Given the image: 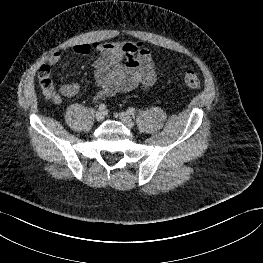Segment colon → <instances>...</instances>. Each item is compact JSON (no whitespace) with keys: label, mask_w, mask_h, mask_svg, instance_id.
Wrapping results in <instances>:
<instances>
[{"label":"colon","mask_w":263,"mask_h":263,"mask_svg":"<svg viewBox=\"0 0 263 263\" xmlns=\"http://www.w3.org/2000/svg\"><path fill=\"white\" fill-rule=\"evenodd\" d=\"M39 85L45 96L53 94L54 86L51 78V69L48 65H43L38 72ZM184 83L190 89H198L201 87V80L192 70H186L184 73Z\"/></svg>","instance_id":"5ec220e1"}]
</instances>
